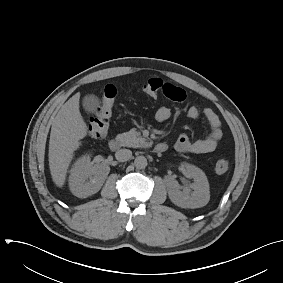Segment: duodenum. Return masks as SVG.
<instances>
[{
  "instance_id": "duodenum-1",
  "label": "duodenum",
  "mask_w": 283,
  "mask_h": 283,
  "mask_svg": "<svg viewBox=\"0 0 283 283\" xmlns=\"http://www.w3.org/2000/svg\"><path fill=\"white\" fill-rule=\"evenodd\" d=\"M121 147V141L117 138H114V139H111L109 141V148L112 150V151H116L118 150L119 148ZM167 150V145L165 143H158L156 144L155 146V151L156 152H164Z\"/></svg>"
}]
</instances>
